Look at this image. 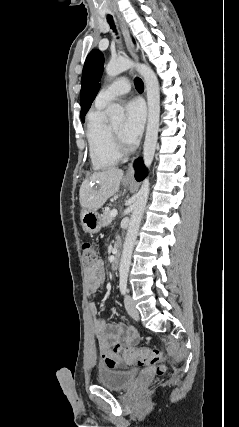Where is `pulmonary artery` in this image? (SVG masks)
<instances>
[{
    "label": "pulmonary artery",
    "mask_w": 239,
    "mask_h": 427,
    "mask_svg": "<svg viewBox=\"0 0 239 427\" xmlns=\"http://www.w3.org/2000/svg\"><path fill=\"white\" fill-rule=\"evenodd\" d=\"M131 89L130 82L127 78L122 77L114 81L112 84L104 87L98 93L95 103L97 105L106 106L119 97L127 94Z\"/></svg>",
    "instance_id": "pulmonary-artery-1"
}]
</instances>
